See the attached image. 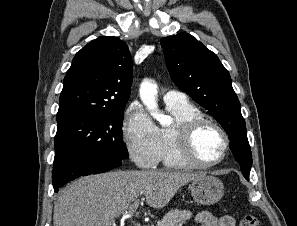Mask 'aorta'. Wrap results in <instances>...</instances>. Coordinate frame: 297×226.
<instances>
[{"mask_svg":"<svg viewBox=\"0 0 297 226\" xmlns=\"http://www.w3.org/2000/svg\"><path fill=\"white\" fill-rule=\"evenodd\" d=\"M139 94L141 101L150 112L151 116L160 123H164V116L159 112L156 100L157 86L146 79L140 85Z\"/></svg>","mask_w":297,"mask_h":226,"instance_id":"1","label":"aorta"}]
</instances>
